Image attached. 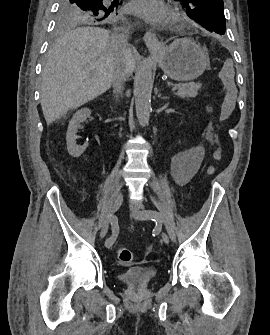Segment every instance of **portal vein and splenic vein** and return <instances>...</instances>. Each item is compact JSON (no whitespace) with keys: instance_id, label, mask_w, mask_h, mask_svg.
<instances>
[{"instance_id":"18ae733b","label":"portal vein and splenic vein","mask_w":270,"mask_h":335,"mask_svg":"<svg viewBox=\"0 0 270 335\" xmlns=\"http://www.w3.org/2000/svg\"><path fill=\"white\" fill-rule=\"evenodd\" d=\"M175 90H179V86L178 87H172V93H175Z\"/></svg>"}]
</instances>
